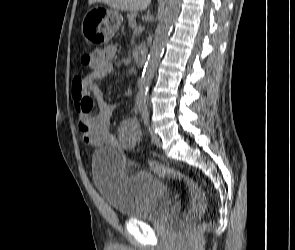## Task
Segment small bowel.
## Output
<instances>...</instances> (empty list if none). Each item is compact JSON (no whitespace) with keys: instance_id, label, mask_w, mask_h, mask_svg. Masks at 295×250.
Here are the masks:
<instances>
[{"instance_id":"1","label":"small bowel","mask_w":295,"mask_h":250,"mask_svg":"<svg viewBox=\"0 0 295 250\" xmlns=\"http://www.w3.org/2000/svg\"><path fill=\"white\" fill-rule=\"evenodd\" d=\"M92 62L85 77H76L72 83V97L78 114V127L83 141L91 147L119 146L125 149L132 148L138 140V129L133 121H128L119 128L118 137L110 131L111 116L116 104L104 100L98 86V81L114 72L113 61L116 57V48L108 46L104 50H95L92 53ZM95 97L99 111L94 112Z\"/></svg>"}]
</instances>
